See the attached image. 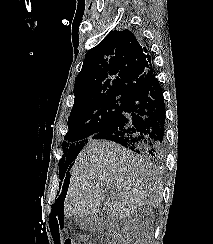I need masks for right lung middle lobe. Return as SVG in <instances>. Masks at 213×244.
Here are the masks:
<instances>
[{"mask_svg":"<svg viewBox=\"0 0 213 244\" xmlns=\"http://www.w3.org/2000/svg\"><path fill=\"white\" fill-rule=\"evenodd\" d=\"M130 98L118 95L99 97L71 110L68 132L63 142L64 156L59 164V178L64 179L66 170L84 145L95 135L109 129L124 111Z\"/></svg>","mask_w":213,"mask_h":244,"instance_id":"right-lung-middle-lobe-1","label":"right lung middle lobe"}]
</instances>
